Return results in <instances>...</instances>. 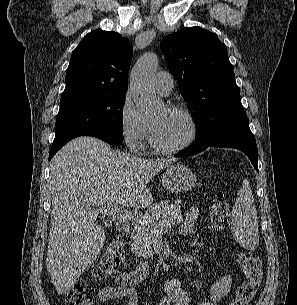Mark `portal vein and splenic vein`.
Masks as SVG:
<instances>
[{
  "label": "portal vein and splenic vein",
  "instance_id": "obj_1",
  "mask_svg": "<svg viewBox=\"0 0 297 305\" xmlns=\"http://www.w3.org/2000/svg\"><path fill=\"white\" fill-rule=\"evenodd\" d=\"M99 212L113 218H120L124 220H131L136 217L135 214L131 212V210L120 208L114 204L99 209Z\"/></svg>",
  "mask_w": 297,
  "mask_h": 305
}]
</instances>
